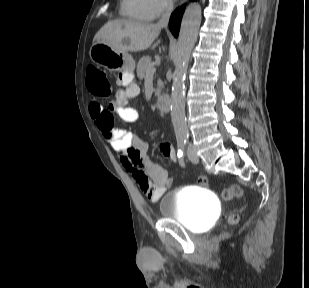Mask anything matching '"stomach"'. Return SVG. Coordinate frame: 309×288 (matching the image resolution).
I'll list each match as a JSON object with an SVG mask.
<instances>
[{"mask_svg":"<svg viewBox=\"0 0 309 288\" xmlns=\"http://www.w3.org/2000/svg\"><path fill=\"white\" fill-rule=\"evenodd\" d=\"M93 63L110 71H127L133 73L135 61L128 53L113 49L102 42L93 43L89 51Z\"/></svg>","mask_w":309,"mask_h":288,"instance_id":"obj_1","label":"stomach"}]
</instances>
